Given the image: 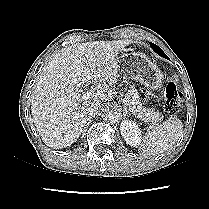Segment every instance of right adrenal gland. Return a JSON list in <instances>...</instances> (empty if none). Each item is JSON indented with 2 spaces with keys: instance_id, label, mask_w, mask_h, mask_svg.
<instances>
[{
  "instance_id": "obj_1",
  "label": "right adrenal gland",
  "mask_w": 209,
  "mask_h": 209,
  "mask_svg": "<svg viewBox=\"0 0 209 209\" xmlns=\"http://www.w3.org/2000/svg\"><path fill=\"white\" fill-rule=\"evenodd\" d=\"M91 119H92V116L87 117V122H86L85 126L83 127L82 132L86 130V128L88 127V125H89L90 122H91Z\"/></svg>"
}]
</instances>
